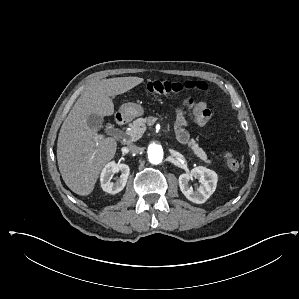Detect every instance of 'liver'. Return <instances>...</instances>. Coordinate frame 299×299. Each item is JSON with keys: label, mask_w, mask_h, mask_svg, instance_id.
<instances>
[{"label": "liver", "mask_w": 299, "mask_h": 299, "mask_svg": "<svg viewBox=\"0 0 299 299\" xmlns=\"http://www.w3.org/2000/svg\"><path fill=\"white\" fill-rule=\"evenodd\" d=\"M144 81L117 77L94 81L78 98L64 120L57 142V161L65 184L80 196L89 195L103 167L117 150L112 137L97 139L103 117L114 113L110 97L123 94Z\"/></svg>", "instance_id": "6515ba94"}]
</instances>
